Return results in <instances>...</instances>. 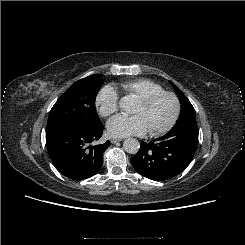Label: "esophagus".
Returning <instances> with one entry per match:
<instances>
[{
  "label": "esophagus",
  "mask_w": 245,
  "mask_h": 245,
  "mask_svg": "<svg viewBox=\"0 0 245 245\" xmlns=\"http://www.w3.org/2000/svg\"><path fill=\"white\" fill-rule=\"evenodd\" d=\"M121 140H122V139H117V138H116V139H111L110 142H111V143H116V142H119V141H121Z\"/></svg>",
  "instance_id": "obj_1"
}]
</instances>
